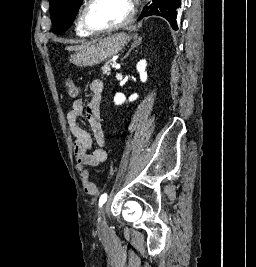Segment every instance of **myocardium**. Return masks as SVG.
I'll list each match as a JSON object with an SVG mask.
<instances>
[{
	"instance_id": "1",
	"label": "myocardium",
	"mask_w": 256,
	"mask_h": 267,
	"mask_svg": "<svg viewBox=\"0 0 256 267\" xmlns=\"http://www.w3.org/2000/svg\"><path fill=\"white\" fill-rule=\"evenodd\" d=\"M98 0H90L86 9L84 10V12L81 14V23L84 27V29L86 31H88L89 33L92 34H106V33H110L113 31H117L120 29H123L124 27H126L128 24L132 23L133 19H134V15H135V8L134 6L129 2V0H115V1H119L121 3H124L125 5L128 6L130 13H129V17L126 21L123 22H119L117 24L105 27V28H98L96 26H94L88 19L87 13H88V9L91 6V4H93L94 2H96Z\"/></svg>"
}]
</instances>
